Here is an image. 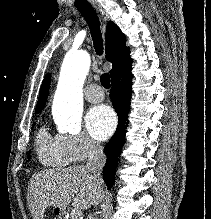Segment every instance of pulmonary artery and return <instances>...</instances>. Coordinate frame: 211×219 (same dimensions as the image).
I'll return each instance as SVG.
<instances>
[{
  "instance_id": "obj_1",
  "label": "pulmonary artery",
  "mask_w": 211,
  "mask_h": 219,
  "mask_svg": "<svg viewBox=\"0 0 211 219\" xmlns=\"http://www.w3.org/2000/svg\"><path fill=\"white\" fill-rule=\"evenodd\" d=\"M85 98L92 103L100 102L104 99V92L97 84H91L87 87Z\"/></svg>"
}]
</instances>
